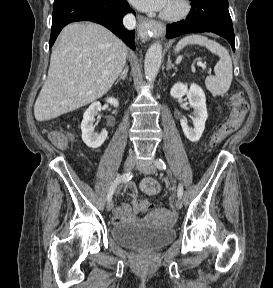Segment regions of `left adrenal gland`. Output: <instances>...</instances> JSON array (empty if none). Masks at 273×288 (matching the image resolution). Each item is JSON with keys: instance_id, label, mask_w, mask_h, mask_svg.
I'll use <instances>...</instances> for the list:
<instances>
[{"instance_id": "a2214340", "label": "left adrenal gland", "mask_w": 273, "mask_h": 288, "mask_svg": "<svg viewBox=\"0 0 273 288\" xmlns=\"http://www.w3.org/2000/svg\"><path fill=\"white\" fill-rule=\"evenodd\" d=\"M171 68L177 71V68L172 64L170 58H168L166 70L169 71Z\"/></svg>"}]
</instances>
